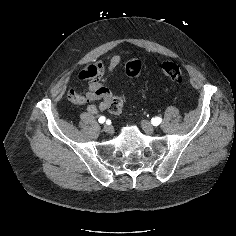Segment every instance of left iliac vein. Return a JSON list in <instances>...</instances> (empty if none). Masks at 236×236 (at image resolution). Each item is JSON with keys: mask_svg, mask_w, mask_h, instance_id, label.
<instances>
[{"mask_svg": "<svg viewBox=\"0 0 236 236\" xmlns=\"http://www.w3.org/2000/svg\"><path fill=\"white\" fill-rule=\"evenodd\" d=\"M141 125L146 133L153 134L155 132L154 126L147 120H142Z\"/></svg>", "mask_w": 236, "mask_h": 236, "instance_id": "left-iliac-vein-1", "label": "left iliac vein"}]
</instances>
